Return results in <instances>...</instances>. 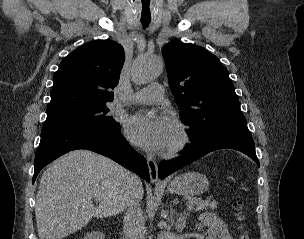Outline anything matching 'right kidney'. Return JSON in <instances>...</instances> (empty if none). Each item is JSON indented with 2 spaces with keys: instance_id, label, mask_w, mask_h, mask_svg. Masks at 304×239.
<instances>
[{
  "instance_id": "1",
  "label": "right kidney",
  "mask_w": 304,
  "mask_h": 239,
  "mask_svg": "<svg viewBox=\"0 0 304 239\" xmlns=\"http://www.w3.org/2000/svg\"><path fill=\"white\" fill-rule=\"evenodd\" d=\"M104 235L100 232H89L83 239H103Z\"/></svg>"
}]
</instances>
